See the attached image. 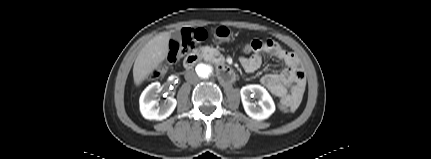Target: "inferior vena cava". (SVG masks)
Instances as JSON below:
<instances>
[{
    "mask_svg": "<svg viewBox=\"0 0 431 159\" xmlns=\"http://www.w3.org/2000/svg\"><path fill=\"white\" fill-rule=\"evenodd\" d=\"M185 79H186V81H188L191 84L197 83L199 81L198 76L192 70L186 72Z\"/></svg>",
    "mask_w": 431,
    "mask_h": 159,
    "instance_id": "602c4592",
    "label": "inferior vena cava"
}]
</instances>
